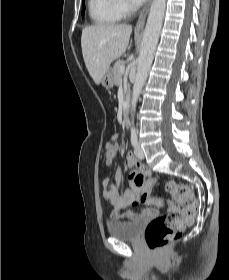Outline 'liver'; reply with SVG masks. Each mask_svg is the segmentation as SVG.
Instances as JSON below:
<instances>
[{
    "instance_id": "1",
    "label": "liver",
    "mask_w": 229,
    "mask_h": 280,
    "mask_svg": "<svg viewBox=\"0 0 229 280\" xmlns=\"http://www.w3.org/2000/svg\"><path fill=\"white\" fill-rule=\"evenodd\" d=\"M132 27L126 24H97L82 30L81 48L86 68L99 85L110 64L130 49Z\"/></svg>"
}]
</instances>
